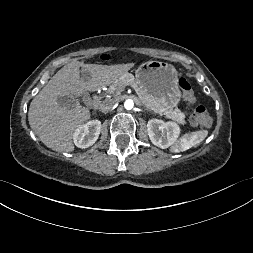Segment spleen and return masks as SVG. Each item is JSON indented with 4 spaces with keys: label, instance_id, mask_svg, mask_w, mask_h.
Returning a JSON list of instances; mask_svg holds the SVG:
<instances>
[{
    "label": "spleen",
    "instance_id": "3e777b00",
    "mask_svg": "<svg viewBox=\"0 0 253 253\" xmlns=\"http://www.w3.org/2000/svg\"><path fill=\"white\" fill-rule=\"evenodd\" d=\"M208 135L207 130H199L191 133L184 134L174 145L171 147V152L179 153L186 151L199 143H201Z\"/></svg>",
    "mask_w": 253,
    "mask_h": 253
}]
</instances>
